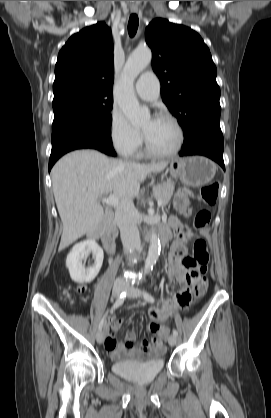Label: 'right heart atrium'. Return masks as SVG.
<instances>
[{
  "mask_svg": "<svg viewBox=\"0 0 271 418\" xmlns=\"http://www.w3.org/2000/svg\"><path fill=\"white\" fill-rule=\"evenodd\" d=\"M109 136L114 149L122 156H131L142 144V134L117 107L110 113Z\"/></svg>",
  "mask_w": 271,
  "mask_h": 418,
  "instance_id": "obj_1",
  "label": "right heart atrium"
}]
</instances>
